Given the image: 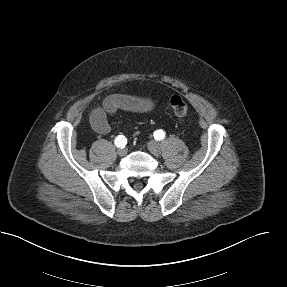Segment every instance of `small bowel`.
<instances>
[{"instance_id":"obj_1","label":"small bowel","mask_w":287,"mask_h":287,"mask_svg":"<svg viewBox=\"0 0 287 287\" xmlns=\"http://www.w3.org/2000/svg\"><path fill=\"white\" fill-rule=\"evenodd\" d=\"M155 102L151 98L128 94H113L108 96L101 106L95 107L90 113L92 128L101 135L108 134L111 126L108 116L118 111L131 113H147L154 109Z\"/></svg>"}]
</instances>
